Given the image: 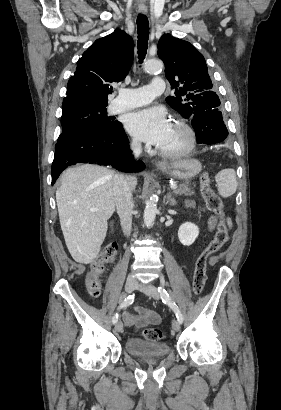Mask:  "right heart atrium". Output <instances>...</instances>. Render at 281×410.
I'll return each instance as SVG.
<instances>
[{
  "label": "right heart atrium",
  "mask_w": 281,
  "mask_h": 410,
  "mask_svg": "<svg viewBox=\"0 0 281 410\" xmlns=\"http://www.w3.org/2000/svg\"><path fill=\"white\" fill-rule=\"evenodd\" d=\"M131 147H132L134 150H140V149H141V144H140V142H139L137 139H133V140L131 141Z\"/></svg>",
  "instance_id": "right-heart-atrium-1"
}]
</instances>
